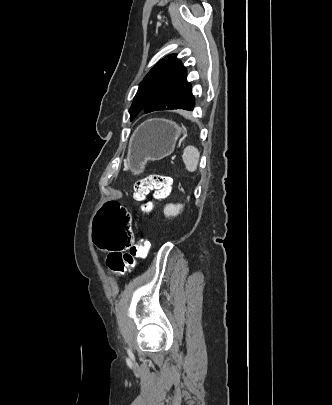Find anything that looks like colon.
Wrapping results in <instances>:
<instances>
[{
    "instance_id": "colon-1",
    "label": "colon",
    "mask_w": 332,
    "mask_h": 405,
    "mask_svg": "<svg viewBox=\"0 0 332 405\" xmlns=\"http://www.w3.org/2000/svg\"><path fill=\"white\" fill-rule=\"evenodd\" d=\"M173 188L172 179L162 174H151L137 181L134 185V197L142 200L150 191L157 199L170 195ZM152 203L146 202L142 209L148 213ZM93 243L95 257H111L109 267L116 274H123L133 267L137 258L147 255L150 242L140 238L136 243V228L131 227L130 213L124 202H101V211H95L93 221ZM116 254V255H115Z\"/></svg>"
}]
</instances>
